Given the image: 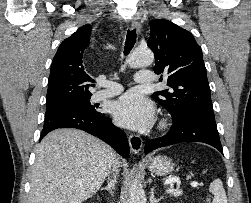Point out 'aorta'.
<instances>
[{"label": "aorta", "instance_id": "obj_1", "mask_svg": "<svg viewBox=\"0 0 251 203\" xmlns=\"http://www.w3.org/2000/svg\"><path fill=\"white\" fill-rule=\"evenodd\" d=\"M154 54L150 49H136L127 59L130 67H146L153 63ZM129 203H146L142 184L138 179H132L129 190Z\"/></svg>", "mask_w": 251, "mask_h": 203}]
</instances>
